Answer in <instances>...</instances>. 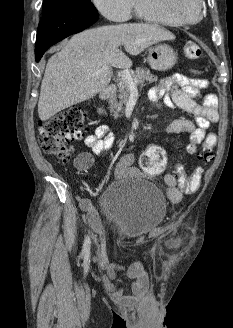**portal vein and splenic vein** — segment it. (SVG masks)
<instances>
[{
    "label": "portal vein and splenic vein",
    "instance_id": "portal-vein-and-splenic-vein-1",
    "mask_svg": "<svg viewBox=\"0 0 233 328\" xmlns=\"http://www.w3.org/2000/svg\"><path fill=\"white\" fill-rule=\"evenodd\" d=\"M105 69H106V68L100 69V70H98V71L95 72V73H96V74H99V73H101L102 71H104ZM120 76H121V79L125 80V81L128 83V85H129V89H130V90H134V91L137 90V86H136V84L133 82L132 77H131V74H130V72H129L128 69L121 71V72H120Z\"/></svg>",
    "mask_w": 233,
    "mask_h": 328
}]
</instances>
